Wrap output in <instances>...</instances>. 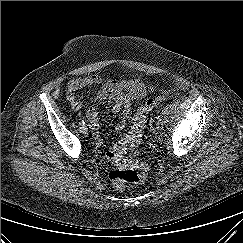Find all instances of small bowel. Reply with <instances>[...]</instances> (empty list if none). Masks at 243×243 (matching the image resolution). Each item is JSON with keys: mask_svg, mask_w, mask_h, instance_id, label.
I'll return each instance as SVG.
<instances>
[{"mask_svg": "<svg viewBox=\"0 0 243 243\" xmlns=\"http://www.w3.org/2000/svg\"><path fill=\"white\" fill-rule=\"evenodd\" d=\"M97 88L96 99L100 101H110L113 103V113L120 116L119 129L124 127L126 121L131 114L133 103L141 102L148 93L154 91V86L146 85L138 79L104 80L101 76L92 74L73 79L67 85V100L73 110L79 111L83 104L79 100L77 94L84 88ZM85 116L91 124V128L95 134L94 142L97 146L103 143V139L99 134L100 117L94 107H89L85 110Z\"/></svg>", "mask_w": 243, "mask_h": 243, "instance_id": "c3829d8e", "label": "small bowel"}]
</instances>
